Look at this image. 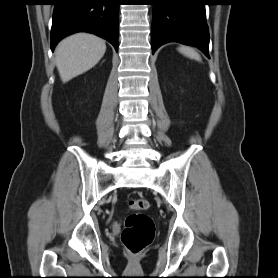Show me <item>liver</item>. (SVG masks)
<instances>
[{
  "label": "liver",
  "instance_id": "1",
  "mask_svg": "<svg viewBox=\"0 0 278 278\" xmlns=\"http://www.w3.org/2000/svg\"><path fill=\"white\" fill-rule=\"evenodd\" d=\"M105 41L93 34L76 33L60 42L56 50V66L66 83L94 67L104 56Z\"/></svg>",
  "mask_w": 278,
  "mask_h": 278
}]
</instances>
